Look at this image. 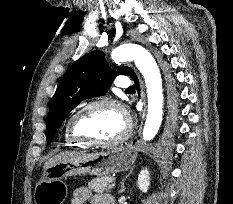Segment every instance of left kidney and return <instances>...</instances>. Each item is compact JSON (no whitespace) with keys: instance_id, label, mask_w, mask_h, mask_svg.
<instances>
[{"instance_id":"5707ae66","label":"left kidney","mask_w":233,"mask_h":204,"mask_svg":"<svg viewBox=\"0 0 233 204\" xmlns=\"http://www.w3.org/2000/svg\"><path fill=\"white\" fill-rule=\"evenodd\" d=\"M149 185H150L149 171L147 169H143L138 175V187L142 192L146 193L148 191Z\"/></svg>"}]
</instances>
